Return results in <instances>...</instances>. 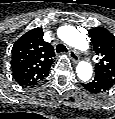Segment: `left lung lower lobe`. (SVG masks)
Returning <instances> with one entry per match:
<instances>
[{
    "label": "left lung lower lobe",
    "instance_id": "0a47b994",
    "mask_svg": "<svg viewBox=\"0 0 115 119\" xmlns=\"http://www.w3.org/2000/svg\"><path fill=\"white\" fill-rule=\"evenodd\" d=\"M114 84L115 83H113L108 78L95 73L93 80L88 83L82 84V86L90 93L97 94L108 92Z\"/></svg>",
    "mask_w": 115,
    "mask_h": 119
}]
</instances>
